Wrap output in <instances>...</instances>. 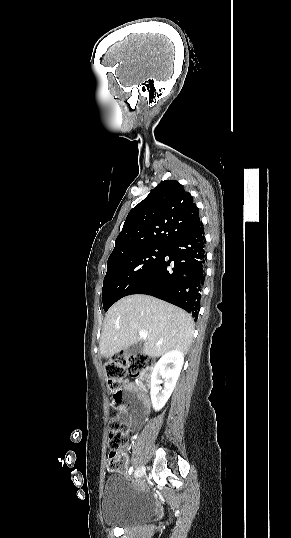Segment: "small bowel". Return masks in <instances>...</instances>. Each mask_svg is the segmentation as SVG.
Here are the masks:
<instances>
[{
	"mask_svg": "<svg viewBox=\"0 0 291 538\" xmlns=\"http://www.w3.org/2000/svg\"><path fill=\"white\" fill-rule=\"evenodd\" d=\"M124 389L132 395H126L127 403L120 404L116 411L129 418L131 427L137 428L140 426L143 417L149 412L150 402L141 386V382H126ZM119 459L124 465L128 462V456L125 453H121Z\"/></svg>",
	"mask_w": 291,
	"mask_h": 538,
	"instance_id": "c3829d8e",
	"label": "small bowel"
}]
</instances>
